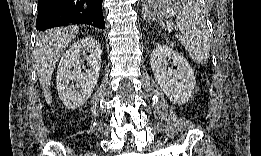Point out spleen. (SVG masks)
<instances>
[{"label": "spleen", "mask_w": 261, "mask_h": 156, "mask_svg": "<svg viewBox=\"0 0 261 156\" xmlns=\"http://www.w3.org/2000/svg\"><path fill=\"white\" fill-rule=\"evenodd\" d=\"M165 10H168L165 7ZM176 15V24L181 31L179 41L184 45L190 57L198 64L207 61L210 53L209 32L202 16L200 6L195 1H182L171 9ZM163 28L171 29V24L165 25L160 18Z\"/></svg>", "instance_id": "3e777b00"}]
</instances>
